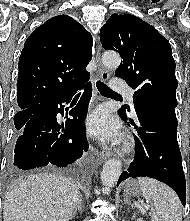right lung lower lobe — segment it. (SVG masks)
<instances>
[{
	"label": "right lung lower lobe",
	"mask_w": 190,
	"mask_h": 221,
	"mask_svg": "<svg viewBox=\"0 0 190 221\" xmlns=\"http://www.w3.org/2000/svg\"><path fill=\"white\" fill-rule=\"evenodd\" d=\"M84 87L81 100L70 111L73 119L59 125L56 115H63L62 103H68L75 92ZM91 93L92 86L88 82L74 91L41 102L19 133L10 165L22 170L47 165L66 167L79 159L83 151L88 150L84 119Z\"/></svg>",
	"instance_id": "1"
}]
</instances>
